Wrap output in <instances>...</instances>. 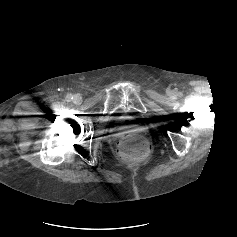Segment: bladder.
<instances>
[{
    "label": "bladder",
    "instance_id": "31cf9c89",
    "mask_svg": "<svg viewBox=\"0 0 237 237\" xmlns=\"http://www.w3.org/2000/svg\"><path fill=\"white\" fill-rule=\"evenodd\" d=\"M111 122L117 125H132L134 123L133 120L128 116L113 118Z\"/></svg>",
    "mask_w": 237,
    "mask_h": 237
}]
</instances>
